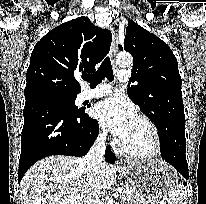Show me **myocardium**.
<instances>
[{"instance_id":"obj_1","label":"myocardium","mask_w":206,"mask_h":204,"mask_svg":"<svg viewBox=\"0 0 206 204\" xmlns=\"http://www.w3.org/2000/svg\"><path fill=\"white\" fill-rule=\"evenodd\" d=\"M137 118L144 122L146 126L149 128L151 135L153 137V147L150 151L144 152V153H138L133 152L129 150L123 142L120 144V149L123 154H125L128 157L135 158V159H141V160H147L152 159L156 156H158L161 153L162 150V138L160 135V132L155 125V123L146 115L144 114H138Z\"/></svg>"}]
</instances>
